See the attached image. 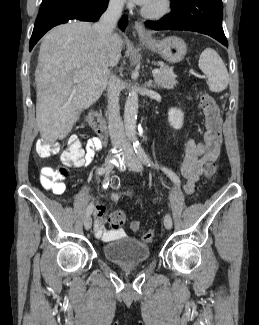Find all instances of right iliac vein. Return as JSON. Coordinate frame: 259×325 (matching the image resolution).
I'll list each match as a JSON object with an SVG mask.
<instances>
[{"instance_id":"obj_1","label":"right iliac vein","mask_w":259,"mask_h":325,"mask_svg":"<svg viewBox=\"0 0 259 325\" xmlns=\"http://www.w3.org/2000/svg\"><path fill=\"white\" fill-rule=\"evenodd\" d=\"M106 173H109L113 169L112 157H107L104 163ZM84 226L86 230H90L92 226V218L88 216L85 219Z\"/></svg>"}]
</instances>
